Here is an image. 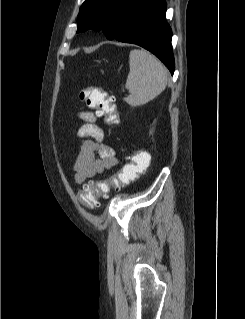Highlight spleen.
Listing matches in <instances>:
<instances>
[{
	"instance_id": "1",
	"label": "spleen",
	"mask_w": 245,
	"mask_h": 319,
	"mask_svg": "<svg viewBox=\"0 0 245 319\" xmlns=\"http://www.w3.org/2000/svg\"><path fill=\"white\" fill-rule=\"evenodd\" d=\"M129 74L125 88L130 95L124 101L130 106L144 105L157 97L167 86L166 67L150 52L134 49L129 54Z\"/></svg>"
}]
</instances>
